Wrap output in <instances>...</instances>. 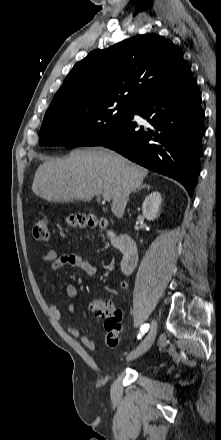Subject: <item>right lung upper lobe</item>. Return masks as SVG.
<instances>
[{
	"mask_svg": "<svg viewBox=\"0 0 221 440\" xmlns=\"http://www.w3.org/2000/svg\"><path fill=\"white\" fill-rule=\"evenodd\" d=\"M191 80L177 47L157 34H145L92 51L76 63L47 111L73 105L141 101Z\"/></svg>",
	"mask_w": 221,
	"mask_h": 440,
	"instance_id": "1",
	"label": "right lung upper lobe"
}]
</instances>
